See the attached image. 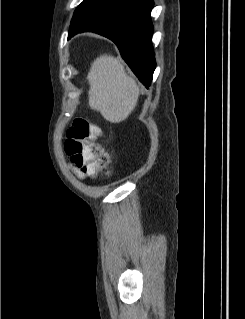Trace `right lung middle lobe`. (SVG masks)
Segmentation results:
<instances>
[{"mask_svg": "<svg viewBox=\"0 0 245 319\" xmlns=\"http://www.w3.org/2000/svg\"><path fill=\"white\" fill-rule=\"evenodd\" d=\"M129 1L130 0H84L80 5V12L85 15L82 21H92V23H94L126 5Z\"/></svg>", "mask_w": 245, "mask_h": 319, "instance_id": "right-lung-middle-lobe-1", "label": "right lung middle lobe"}]
</instances>
